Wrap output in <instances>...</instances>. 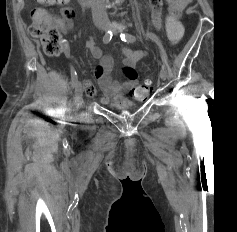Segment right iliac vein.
<instances>
[{"label":"right iliac vein","mask_w":237,"mask_h":232,"mask_svg":"<svg viewBox=\"0 0 237 232\" xmlns=\"http://www.w3.org/2000/svg\"><path fill=\"white\" fill-rule=\"evenodd\" d=\"M100 29L104 30L105 26H101ZM74 100H75V104H76L77 108H80L83 103V89H82V85L80 82L76 85L75 93H74Z\"/></svg>","instance_id":"obj_1"}]
</instances>
